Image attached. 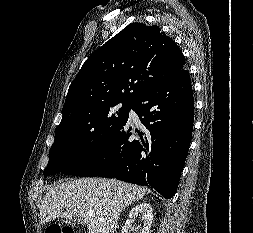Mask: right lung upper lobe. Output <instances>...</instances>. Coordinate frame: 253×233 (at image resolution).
Instances as JSON below:
<instances>
[{
  "label": "right lung upper lobe",
  "instance_id": "1",
  "mask_svg": "<svg viewBox=\"0 0 253 233\" xmlns=\"http://www.w3.org/2000/svg\"><path fill=\"white\" fill-rule=\"evenodd\" d=\"M184 65L185 56L158 26L132 23L85 61L69 87L63 117L100 101H134Z\"/></svg>",
  "mask_w": 253,
  "mask_h": 233
}]
</instances>
